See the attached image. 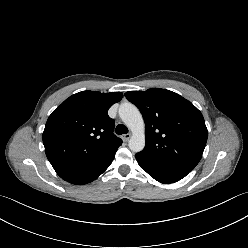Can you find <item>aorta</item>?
Returning <instances> with one entry per match:
<instances>
[{
    "label": "aorta",
    "mask_w": 248,
    "mask_h": 248,
    "mask_svg": "<svg viewBox=\"0 0 248 248\" xmlns=\"http://www.w3.org/2000/svg\"><path fill=\"white\" fill-rule=\"evenodd\" d=\"M119 115L132 132L129 148L133 152H140L145 146V125L140 111L131 103L120 105Z\"/></svg>",
    "instance_id": "aorta-1"
}]
</instances>
